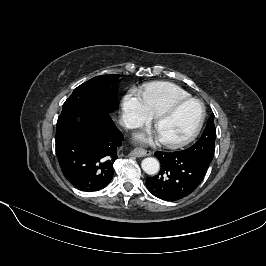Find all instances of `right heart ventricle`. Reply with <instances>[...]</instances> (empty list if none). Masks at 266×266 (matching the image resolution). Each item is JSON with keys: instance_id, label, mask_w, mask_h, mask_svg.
<instances>
[{"instance_id": "e07e8e85", "label": "right heart ventricle", "mask_w": 266, "mask_h": 266, "mask_svg": "<svg viewBox=\"0 0 266 266\" xmlns=\"http://www.w3.org/2000/svg\"><path fill=\"white\" fill-rule=\"evenodd\" d=\"M141 96L152 116L179 100L191 97L187 91L170 82L147 84L142 89Z\"/></svg>"}]
</instances>
